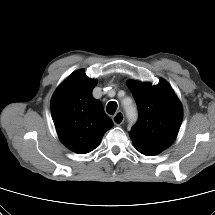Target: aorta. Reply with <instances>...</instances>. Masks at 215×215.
Returning a JSON list of instances; mask_svg holds the SVG:
<instances>
[{"mask_svg": "<svg viewBox=\"0 0 215 215\" xmlns=\"http://www.w3.org/2000/svg\"><path fill=\"white\" fill-rule=\"evenodd\" d=\"M124 110L126 113V116L128 120L135 121L137 118V111L136 108L133 105L130 106H124Z\"/></svg>", "mask_w": 215, "mask_h": 215, "instance_id": "obj_1", "label": "aorta"}]
</instances>
